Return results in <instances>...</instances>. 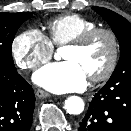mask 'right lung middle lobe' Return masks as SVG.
Wrapping results in <instances>:
<instances>
[{"label": "right lung middle lobe", "mask_w": 131, "mask_h": 131, "mask_svg": "<svg viewBox=\"0 0 131 131\" xmlns=\"http://www.w3.org/2000/svg\"><path fill=\"white\" fill-rule=\"evenodd\" d=\"M32 17L30 12L3 13L0 12V65L15 67L11 45L21 24Z\"/></svg>", "instance_id": "1"}]
</instances>
